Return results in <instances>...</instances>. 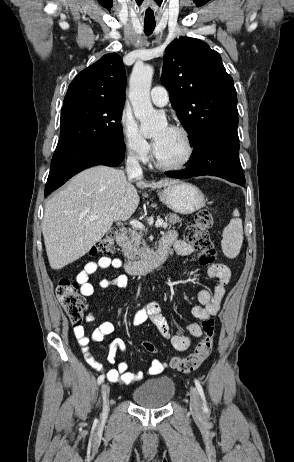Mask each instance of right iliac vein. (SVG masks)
<instances>
[{
	"instance_id": "63e3f726",
	"label": "right iliac vein",
	"mask_w": 294,
	"mask_h": 462,
	"mask_svg": "<svg viewBox=\"0 0 294 462\" xmlns=\"http://www.w3.org/2000/svg\"><path fill=\"white\" fill-rule=\"evenodd\" d=\"M102 399H103V417L105 418L108 415L109 406L108 399L110 394V387L107 384H103L101 388Z\"/></svg>"
}]
</instances>
